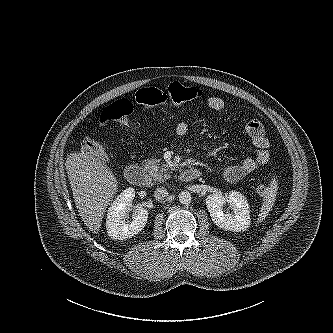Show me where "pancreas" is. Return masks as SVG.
<instances>
[{"instance_id":"obj_1","label":"pancreas","mask_w":333,"mask_h":333,"mask_svg":"<svg viewBox=\"0 0 333 333\" xmlns=\"http://www.w3.org/2000/svg\"><path fill=\"white\" fill-rule=\"evenodd\" d=\"M144 169L155 182H164L170 178L172 171L175 170V168L167 164H160V160L155 158L145 161Z\"/></svg>"}]
</instances>
